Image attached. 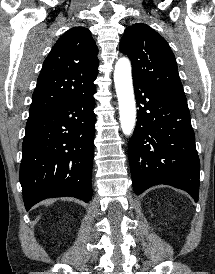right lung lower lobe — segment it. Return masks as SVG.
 <instances>
[{
  "label": "right lung lower lobe",
  "instance_id": "obj_1",
  "mask_svg": "<svg viewBox=\"0 0 215 274\" xmlns=\"http://www.w3.org/2000/svg\"><path fill=\"white\" fill-rule=\"evenodd\" d=\"M95 91L94 86L27 122L20 166L26 210L52 197L91 200Z\"/></svg>",
  "mask_w": 215,
  "mask_h": 274
}]
</instances>
